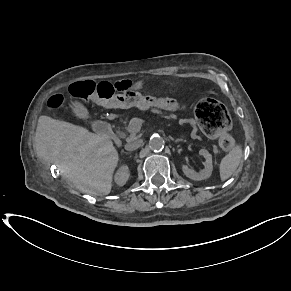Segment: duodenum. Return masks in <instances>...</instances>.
Here are the masks:
<instances>
[{"label":"duodenum","mask_w":291,"mask_h":291,"mask_svg":"<svg viewBox=\"0 0 291 291\" xmlns=\"http://www.w3.org/2000/svg\"><path fill=\"white\" fill-rule=\"evenodd\" d=\"M94 128L97 132L103 133L104 136L109 139V142L112 145L117 146L118 148H121L124 145V142L121 139L113 136V133L110 131L108 123L104 121H97L94 123Z\"/></svg>","instance_id":"1"}]
</instances>
